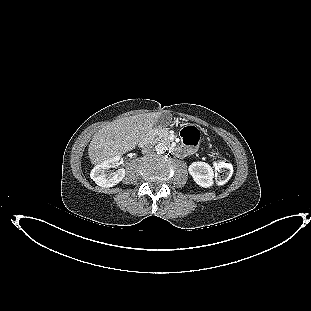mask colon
Returning <instances> with one entry per match:
<instances>
[{
    "mask_svg": "<svg viewBox=\"0 0 311 311\" xmlns=\"http://www.w3.org/2000/svg\"><path fill=\"white\" fill-rule=\"evenodd\" d=\"M183 140L188 143V145H193L198 142L199 133L194 132L191 127H186L182 131ZM215 167V181L218 184L226 182L232 173V166L226 160H217L214 163Z\"/></svg>",
    "mask_w": 311,
    "mask_h": 311,
    "instance_id": "1",
    "label": "colon"
}]
</instances>
